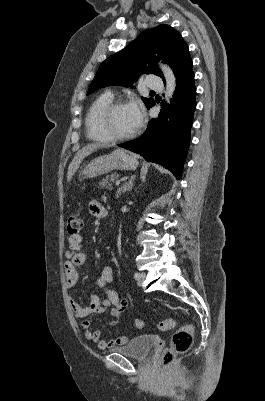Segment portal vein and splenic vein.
<instances>
[{
  "label": "portal vein and splenic vein",
  "instance_id": "obj_1",
  "mask_svg": "<svg viewBox=\"0 0 265 401\" xmlns=\"http://www.w3.org/2000/svg\"><path fill=\"white\" fill-rule=\"evenodd\" d=\"M121 180H116V184H120Z\"/></svg>",
  "mask_w": 265,
  "mask_h": 401
}]
</instances>
